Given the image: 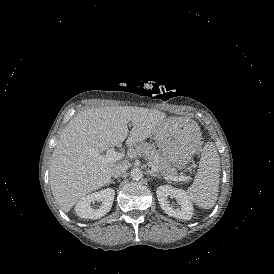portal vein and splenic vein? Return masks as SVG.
<instances>
[{
	"mask_svg": "<svg viewBox=\"0 0 274 274\" xmlns=\"http://www.w3.org/2000/svg\"><path fill=\"white\" fill-rule=\"evenodd\" d=\"M115 153H116V149L115 148H109L107 151H106V156H103L102 157V160L105 161V162H110L112 161V157H116L115 156ZM153 166V165H152ZM154 167V166H153ZM155 172H157L159 175L163 176L164 178H167L168 176L165 175L164 173H160L158 171V169L155 168ZM175 179L177 181H184L185 178L183 177H175Z\"/></svg>",
	"mask_w": 274,
	"mask_h": 274,
	"instance_id": "obj_1",
	"label": "portal vein and splenic vein"
}]
</instances>
